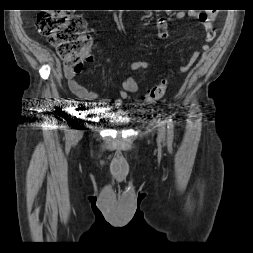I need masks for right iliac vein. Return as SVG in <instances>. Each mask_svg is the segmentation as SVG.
<instances>
[{
    "instance_id": "1",
    "label": "right iliac vein",
    "mask_w": 253,
    "mask_h": 253,
    "mask_svg": "<svg viewBox=\"0 0 253 253\" xmlns=\"http://www.w3.org/2000/svg\"><path fill=\"white\" fill-rule=\"evenodd\" d=\"M79 138H80V132H76V129H73V135H72L73 141H76Z\"/></svg>"
}]
</instances>
